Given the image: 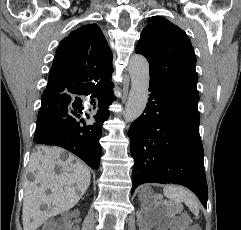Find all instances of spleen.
Instances as JSON below:
<instances>
[{
  "label": "spleen",
  "mask_w": 241,
  "mask_h": 230,
  "mask_svg": "<svg viewBox=\"0 0 241 230\" xmlns=\"http://www.w3.org/2000/svg\"><path fill=\"white\" fill-rule=\"evenodd\" d=\"M164 195L177 203L184 202L195 215L199 214L197 197L185 188L180 186H167L164 188Z\"/></svg>",
  "instance_id": "3e777b00"
}]
</instances>
